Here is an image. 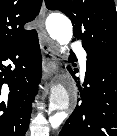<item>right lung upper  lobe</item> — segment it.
<instances>
[{
	"instance_id": "right-lung-upper-lobe-1",
	"label": "right lung upper lobe",
	"mask_w": 117,
	"mask_h": 136,
	"mask_svg": "<svg viewBox=\"0 0 117 136\" xmlns=\"http://www.w3.org/2000/svg\"><path fill=\"white\" fill-rule=\"evenodd\" d=\"M42 0H0V50L9 48L35 30H25L40 11Z\"/></svg>"
}]
</instances>
